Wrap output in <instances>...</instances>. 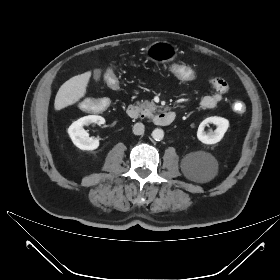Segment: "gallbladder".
I'll return each mask as SVG.
<instances>
[{"label":"gallbladder","instance_id":"1","mask_svg":"<svg viewBox=\"0 0 280 280\" xmlns=\"http://www.w3.org/2000/svg\"><path fill=\"white\" fill-rule=\"evenodd\" d=\"M100 76H101V70L100 69H97V70H95L94 71V80L96 81V82H98L99 80H100Z\"/></svg>","mask_w":280,"mask_h":280}]
</instances>
